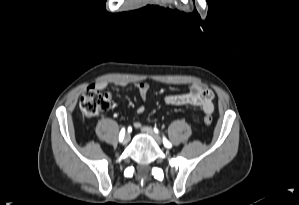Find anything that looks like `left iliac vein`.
Masks as SVG:
<instances>
[{
    "mask_svg": "<svg viewBox=\"0 0 299 205\" xmlns=\"http://www.w3.org/2000/svg\"><path fill=\"white\" fill-rule=\"evenodd\" d=\"M141 130H142V132H144V133L150 135L151 137H153V139H154L159 145L162 144V139H161V137H160L157 133H155L154 130H153L152 128H150V127H148V126H143V127L141 128Z\"/></svg>",
    "mask_w": 299,
    "mask_h": 205,
    "instance_id": "4c4485c4",
    "label": "left iliac vein"
}]
</instances>
